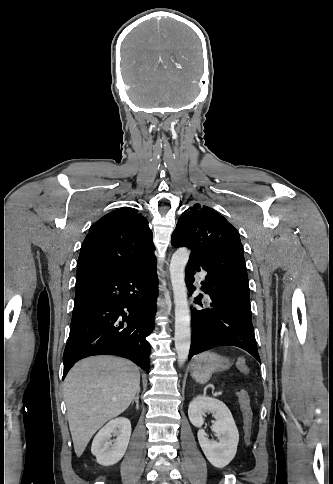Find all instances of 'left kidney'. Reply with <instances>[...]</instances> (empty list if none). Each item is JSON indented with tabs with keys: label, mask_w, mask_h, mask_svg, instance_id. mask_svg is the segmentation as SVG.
<instances>
[{
	"label": "left kidney",
	"mask_w": 333,
	"mask_h": 484,
	"mask_svg": "<svg viewBox=\"0 0 333 484\" xmlns=\"http://www.w3.org/2000/svg\"><path fill=\"white\" fill-rule=\"evenodd\" d=\"M205 413H212L216 418L213 430L220 435L219 442L209 440L205 430L201 428ZM188 417L199 428L198 441L208 461L217 468L228 465L235 457L239 442V433L228 407L218 399L197 396L189 404Z\"/></svg>",
	"instance_id": "5707ae66"
}]
</instances>
